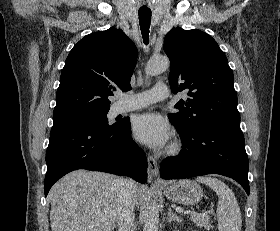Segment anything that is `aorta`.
<instances>
[{"mask_svg":"<svg viewBox=\"0 0 280 231\" xmlns=\"http://www.w3.org/2000/svg\"><path fill=\"white\" fill-rule=\"evenodd\" d=\"M170 66L168 58H155L149 60L145 66L146 76H158L162 72H166ZM159 227V211L156 199H152L149 205L144 209V229L143 231H158Z\"/></svg>","mask_w":280,"mask_h":231,"instance_id":"obj_1","label":"aorta"}]
</instances>
